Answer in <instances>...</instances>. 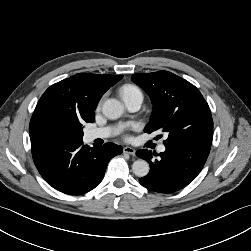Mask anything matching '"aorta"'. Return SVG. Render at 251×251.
<instances>
[{"mask_svg":"<svg viewBox=\"0 0 251 251\" xmlns=\"http://www.w3.org/2000/svg\"><path fill=\"white\" fill-rule=\"evenodd\" d=\"M103 114L109 119H117L124 113V106L116 99H108L102 105ZM149 164L142 159L132 165L133 173L138 177H145L149 173Z\"/></svg>","mask_w":251,"mask_h":251,"instance_id":"obj_1","label":"aorta"}]
</instances>
